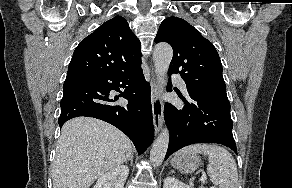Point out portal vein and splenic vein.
<instances>
[{
    "label": "portal vein and splenic vein",
    "mask_w": 292,
    "mask_h": 188,
    "mask_svg": "<svg viewBox=\"0 0 292 188\" xmlns=\"http://www.w3.org/2000/svg\"><path fill=\"white\" fill-rule=\"evenodd\" d=\"M207 178H206V176H202L201 178H200V181H205Z\"/></svg>",
    "instance_id": "1"
}]
</instances>
